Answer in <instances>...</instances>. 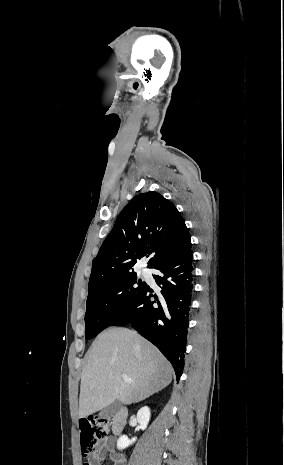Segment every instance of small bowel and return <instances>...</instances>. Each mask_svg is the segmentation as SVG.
<instances>
[{"instance_id": "small-bowel-1", "label": "small bowel", "mask_w": 284, "mask_h": 465, "mask_svg": "<svg viewBox=\"0 0 284 465\" xmlns=\"http://www.w3.org/2000/svg\"><path fill=\"white\" fill-rule=\"evenodd\" d=\"M110 452V446H109V441L108 439H105L101 441L97 445V450L95 454V460L97 461H103L107 457V455ZM124 459L119 457L118 455L114 454L112 456V465H123ZM88 465H96L94 462H88Z\"/></svg>"}]
</instances>
